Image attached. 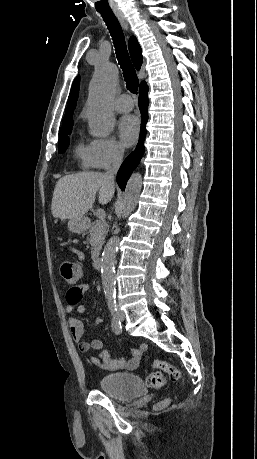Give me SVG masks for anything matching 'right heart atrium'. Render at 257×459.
Returning <instances> with one entry per match:
<instances>
[{
    "label": "right heart atrium",
    "mask_w": 257,
    "mask_h": 459,
    "mask_svg": "<svg viewBox=\"0 0 257 459\" xmlns=\"http://www.w3.org/2000/svg\"><path fill=\"white\" fill-rule=\"evenodd\" d=\"M89 151L94 167L106 169L121 159L123 147L113 138H95L89 143Z\"/></svg>",
    "instance_id": "1"
}]
</instances>
